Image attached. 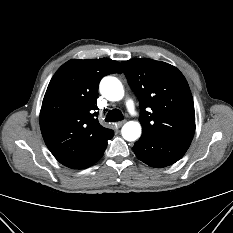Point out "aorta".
<instances>
[{
    "mask_svg": "<svg viewBox=\"0 0 233 233\" xmlns=\"http://www.w3.org/2000/svg\"><path fill=\"white\" fill-rule=\"evenodd\" d=\"M102 95L110 101H118L123 98L122 83L112 76L104 77L100 82ZM122 136L127 141H135L141 136V125L137 121H129L122 127Z\"/></svg>",
    "mask_w": 233,
    "mask_h": 233,
    "instance_id": "762f6f07",
    "label": "aorta"
}]
</instances>
